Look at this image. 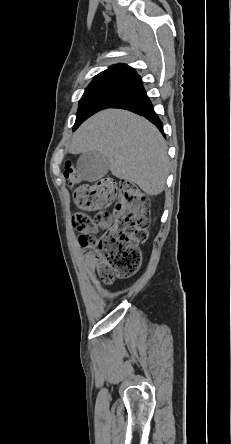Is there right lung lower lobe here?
<instances>
[{"label":"right lung lower lobe","instance_id":"1","mask_svg":"<svg viewBox=\"0 0 231 444\" xmlns=\"http://www.w3.org/2000/svg\"><path fill=\"white\" fill-rule=\"evenodd\" d=\"M109 108H122L132 111L138 115H143L163 133L162 122L154 112L153 106L143 87L129 92Z\"/></svg>","mask_w":231,"mask_h":444}]
</instances>
